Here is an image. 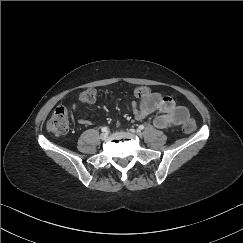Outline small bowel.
<instances>
[{
	"mask_svg": "<svg viewBox=\"0 0 243 243\" xmlns=\"http://www.w3.org/2000/svg\"><path fill=\"white\" fill-rule=\"evenodd\" d=\"M139 98V102L133 101L131 105L135 119L143 120L155 111H160L161 114L156 116L153 121L154 126L158 129L181 125L189 118L188 109L185 106L177 105L174 99L168 95L152 93L145 88L144 95ZM72 109L76 111L75 104L72 105ZM78 122L85 124L86 120L79 118ZM117 127H120L119 123H117Z\"/></svg>",
	"mask_w": 243,
	"mask_h": 243,
	"instance_id": "1",
	"label": "small bowel"
}]
</instances>
